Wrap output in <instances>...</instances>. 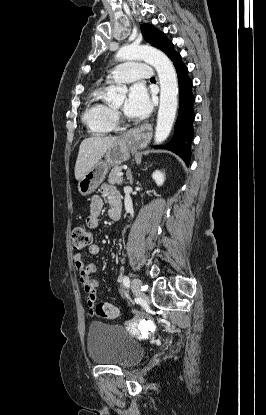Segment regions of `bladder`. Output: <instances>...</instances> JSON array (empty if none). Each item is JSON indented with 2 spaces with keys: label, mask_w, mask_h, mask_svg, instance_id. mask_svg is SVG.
Segmentation results:
<instances>
[{
  "label": "bladder",
  "mask_w": 266,
  "mask_h": 415,
  "mask_svg": "<svg viewBox=\"0 0 266 415\" xmlns=\"http://www.w3.org/2000/svg\"><path fill=\"white\" fill-rule=\"evenodd\" d=\"M87 351L95 364L122 368L135 366L144 356L141 344L122 327L102 322L91 323Z\"/></svg>",
  "instance_id": "31cf9c89"
}]
</instances>
